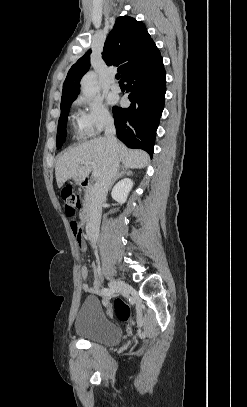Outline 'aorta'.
Listing matches in <instances>:
<instances>
[{"label":"aorta","mask_w":247,"mask_h":407,"mask_svg":"<svg viewBox=\"0 0 247 407\" xmlns=\"http://www.w3.org/2000/svg\"><path fill=\"white\" fill-rule=\"evenodd\" d=\"M81 91L86 97H93L99 92V86L94 72H88L82 78Z\"/></svg>","instance_id":"1"}]
</instances>
